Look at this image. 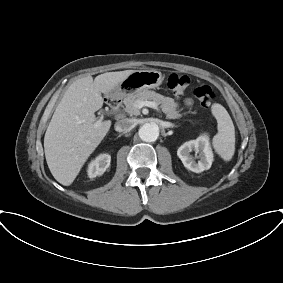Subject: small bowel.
I'll return each instance as SVG.
<instances>
[{
    "label": "small bowel",
    "mask_w": 283,
    "mask_h": 283,
    "mask_svg": "<svg viewBox=\"0 0 283 283\" xmlns=\"http://www.w3.org/2000/svg\"><path fill=\"white\" fill-rule=\"evenodd\" d=\"M185 104H186L187 106H191V105H192V100H191V99H186V100H185Z\"/></svg>",
    "instance_id": "obj_1"
}]
</instances>
